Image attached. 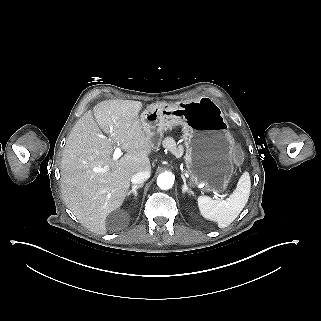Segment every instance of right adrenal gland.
I'll return each mask as SVG.
<instances>
[{
  "label": "right adrenal gland",
  "instance_id": "2a0ac1e0",
  "mask_svg": "<svg viewBox=\"0 0 321 321\" xmlns=\"http://www.w3.org/2000/svg\"><path fill=\"white\" fill-rule=\"evenodd\" d=\"M142 187H143V184H140V185H137V186H133L132 190L130 192H128L126 198H129L130 195H132L133 199H136L137 198V189L142 188Z\"/></svg>",
  "mask_w": 321,
  "mask_h": 321
}]
</instances>
